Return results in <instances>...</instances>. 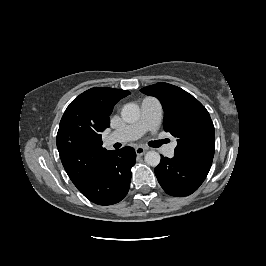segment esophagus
I'll return each mask as SVG.
<instances>
[{
    "label": "esophagus",
    "mask_w": 266,
    "mask_h": 266,
    "mask_svg": "<svg viewBox=\"0 0 266 266\" xmlns=\"http://www.w3.org/2000/svg\"><path fill=\"white\" fill-rule=\"evenodd\" d=\"M146 151H147V148L142 147V146H138L135 148V152L139 156L143 155Z\"/></svg>",
    "instance_id": "34e87169"
}]
</instances>
